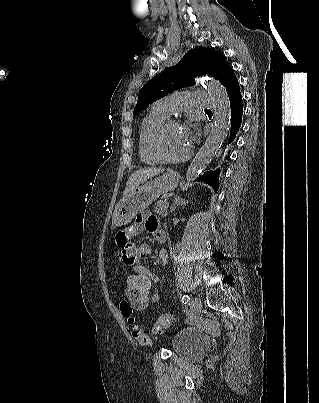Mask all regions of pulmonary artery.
<instances>
[{"label":"pulmonary artery","mask_w":319,"mask_h":403,"mask_svg":"<svg viewBox=\"0 0 319 403\" xmlns=\"http://www.w3.org/2000/svg\"><path fill=\"white\" fill-rule=\"evenodd\" d=\"M214 104L210 93L194 90L190 93H177L168 95L155 103V107L166 114H172L191 106L209 108Z\"/></svg>","instance_id":"pulmonary-artery-1"}]
</instances>
